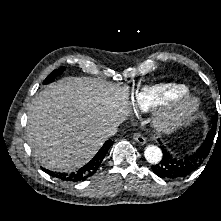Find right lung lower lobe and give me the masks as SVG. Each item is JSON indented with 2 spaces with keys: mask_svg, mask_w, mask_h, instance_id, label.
<instances>
[{
  "mask_svg": "<svg viewBox=\"0 0 221 221\" xmlns=\"http://www.w3.org/2000/svg\"><path fill=\"white\" fill-rule=\"evenodd\" d=\"M112 144H113L112 140L106 141L102 146V148L94 156V158L76 172L56 173L50 170H45V172H47L50 176L59 178L63 181H68V182L83 181L88 177L92 176L96 172V170L100 166L101 162L103 161L106 153L108 152Z\"/></svg>",
  "mask_w": 221,
  "mask_h": 221,
  "instance_id": "98d812e1",
  "label": "right lung lower lobe"
}]
</instances>
